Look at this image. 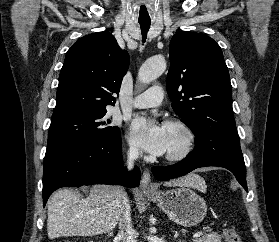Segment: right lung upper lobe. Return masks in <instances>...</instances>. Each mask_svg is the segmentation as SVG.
<instances>
[{"label":"right lung upper lobe","mask_w":279,"mask_h":242,"mask_svg":"<svg viewBox=\"0 0 279 242\" xmlns=\"http://www.w3.org/2000/svg\"><path fill=\"white\" fill-rule=\"evenodd\" d=\"M129 66V55L108 32L76 41L68 50L59 76L53 114L78 109L106 110L114 105Z\"/></svg>","instance_id":"1"}]
</instances>
